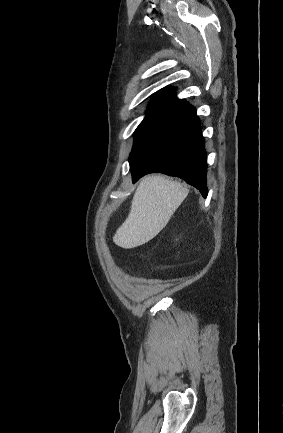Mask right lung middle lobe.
Returning a JSON list of instances; mask_svg holds the SVG:
<instances>
[{
    "mask_svg": "<svg viewBox=\"0 0 283 433\" xmlns=\"http://www.w3.org/2000/svg\"><path fill=\"white\" fill-rule=\"evenodd\" d=\"M160 114H156V113H152V112H147L146 116L144 118V120L140 123V125L137 127L135 133H134V137L136 138L138 136V134L154 119H156L157 117H159Z\"/></svg>",
    "mask_w": 283,
    "mask_h": 433,
    "instance_id": "dd1d6c3e",
    "label": "right lung middle lobe"
}]
</instances>
